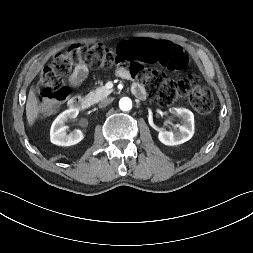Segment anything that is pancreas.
Here are the masks:
<instances>
[{"label": "pancreas", "instance_id": "1", "mask_svg": "<svg viewBox=\"0 0 253 253\" xmlns=\"http://www.w3.org/2000/svg\"><path fill=\"white\" fill-rule=\"evenodd\" d=\"M113 92L112 89H107L105 86L98 87L94 91H91L88 94V98L93 102L96 103L104 98H106L109 94Z\"/></svg>", "mask_w": 253, "mask_h": 253}]
</instances>
